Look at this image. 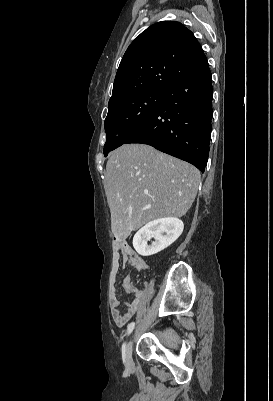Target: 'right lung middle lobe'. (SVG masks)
I'll use <instances>...</instances> for the list:
<instances>
[{
    "mask_svg": "<svg viewBox=\"0 0 273 401\" xmlns=\"http://www.w3.org/2000/svg\"><path fill=\"white\" fill-rule=\"evenodd\" d=\"M165 92L142 91L120 98L108 105L105 119L106 143L104 156L125 144L163 101Z\"/></svg>",
    "mask_w": 273,
    "mask_h": 401,
    "instance_id": "dd1d6c3e",
    "label": "right lung middle lobe"
}]
</instances>
